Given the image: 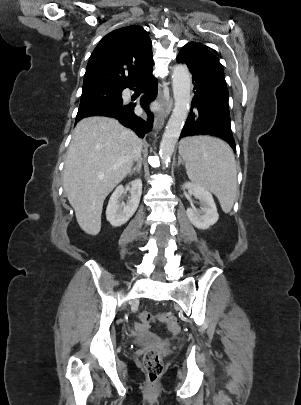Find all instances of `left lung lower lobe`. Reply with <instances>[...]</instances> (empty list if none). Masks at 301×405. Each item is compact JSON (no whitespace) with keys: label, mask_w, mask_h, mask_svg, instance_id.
Instances as JSON below:
<instances>
[{"label":"left lung lower lobe","mask_w":301,"mask_h":405,"mask_svg":"<svg viewBox=\"0 0 301 405\" xmlns=\"http://www.w3.org/2000/svg\"><path fill=\"white\" fill-rule=\"evenodd\" d=\"M193 76L194 97L180 139L187 136L210 135L225 140L236 152L231 131L227 86L198 65L177 56Z\"/></svg>","instance_id":"1"}]
</instances>
